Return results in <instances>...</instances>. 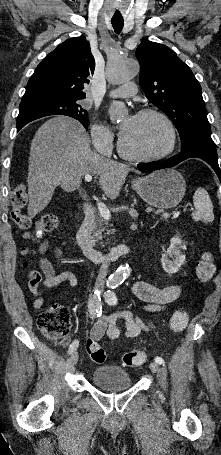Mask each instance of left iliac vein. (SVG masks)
I'll use <instances>...</instances> for the list:
<instances>
[{"instance_id":"4c4485c4","label":"left iliac vein","mask_w":221,"mask_h":455,"mask_svg":"<svg viewBox=\"0 0 221 455\" xmlns=\"http://www.w3.org/2000/svg\"><path fill=\"white\" fill-rule=\"evenodd\" d=\"M149 367L153 373H157L160 370V367L156 362H151Z\"/></svg>"}]
</instances>
